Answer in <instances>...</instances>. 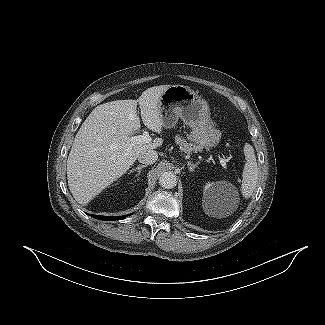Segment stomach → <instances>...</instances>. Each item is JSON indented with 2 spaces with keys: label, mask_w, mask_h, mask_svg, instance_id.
<instances>
[{
  "label": "stomach",
  "mask_w": 325,
  "mask_h": 325,
  "mask_svg": "<svg viewBox=\"0 0 325 325\" xmlns=\"http://www.w3.org/2000/svg\"><path fill=\"white\" fill-rule=\"evenodd\" d=\"M162 126L166 129L181 119L192 131L189 139L200 148L216 147L221 131L211 121L209 105L205 99L188 86L171 85L159 98Z\"/></svg>",
  "instance_id": "stomach-1"
}]
</instances>
